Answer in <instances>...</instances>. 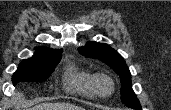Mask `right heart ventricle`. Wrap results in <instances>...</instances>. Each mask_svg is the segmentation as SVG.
<instances>
[{"instance_id":"e07e8e85","label":"right heart ventricle","mask_w":171,"mask_h":110,"mask_svg":"<svg viewBox=\"0 0 171 110\" xmlns=\"http://www.w3.org/2000/svg\"><path fill=\"white\" fill-rule=\"evenodd\" d=\"M92 78L89 72L70 65L64 74V87L70 93L91 98L95 96Z\"/></svg>"}]
</instances>
